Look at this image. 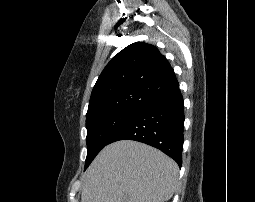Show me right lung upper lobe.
Listing matches in <instances>:
<instances>
[{
    "mask_svg": "<svg viewBox=\"0 0 255 202\" xmlns=\"http://www.w3.org/2000/svg\"><path fill=\"white\" fill-rule=\"evenodd\" d=\"M179 89L175 73L156 47L133 43L104 68L91 94L86 116L117 108L140 109Z\"/></svg>",
    "mask_w": 255,
    "mask_h": 202,
    "instance_id": "1",
    "label": "right lung upper lobe"
}]
</instances>
